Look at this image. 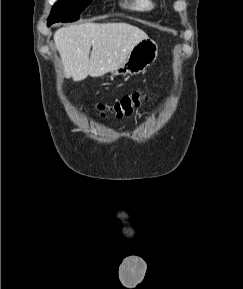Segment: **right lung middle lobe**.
Wrapping results in <instances>:
<instances>
[{"label":"right lung middle lobe","mask_w":243,"mask_h":289,"mask_svg":"<svg viewBox=\"0 0 243 289\" xmlns=\"http://www.w3.org/2000/svg\"><path fill=\"white\" fill-rule=\"evenodd\" d=\"M92 0H59L52 7L48 23L73 22L79 18V14L84 10Z\"/></svg>","instance_id":"dd1d6c3e"}]
</instances>
